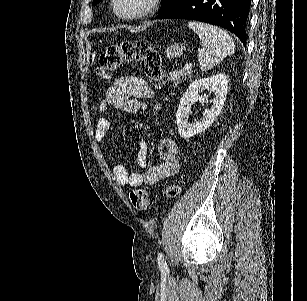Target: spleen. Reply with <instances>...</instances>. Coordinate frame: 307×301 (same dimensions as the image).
Wrapping results in <instances>:
<instances>
[{
    "label": "spleen",
    "instance_id": "3e777b00",
    "mask_svg": "<svg viewBox=\"0 0 307 301\" xmlns=\"http://www.w3.org/2000/svg\"><path fill=\"white\" fill-rule=\"evenodd\" d=\"M189 28L197 32L201 46L206 50L199 58L201 70H210L217 62H221L228 54H234L235 44L232 36L214 24L206 22H188Z\"/></svg>",
    "mask_w": 307,
    "mask_h": 301
}]
</instances>
